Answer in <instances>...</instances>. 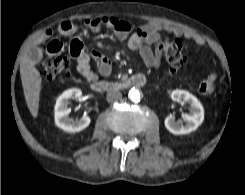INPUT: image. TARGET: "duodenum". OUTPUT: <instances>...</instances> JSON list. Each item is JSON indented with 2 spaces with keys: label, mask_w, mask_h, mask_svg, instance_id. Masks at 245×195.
I'll return each instance as SVG.
<instances>
[{
  "label": "duodenum",
  "mask_w": 245,
  "mask_h": 195,
  "mask_svg": "<svg viewBox=\"0 0 245 195\" xmlns=\"http://www.w3.org/2000/svg\"><path fill=\"white\" fill-rule=\"evenodd\" d=\"M146 84V77L142 73L130 76L119 82H108L103 80H96L91 83V88L95 92H108L121 89H128L131 87H143Z\"/></svg>",
  "instance_id": "1"
}]
</instances>
